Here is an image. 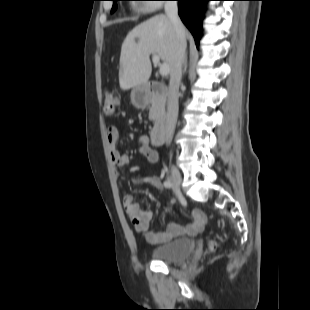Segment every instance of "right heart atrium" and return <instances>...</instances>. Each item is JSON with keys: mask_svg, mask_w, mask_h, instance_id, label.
<instances>
[{"mask_svg": "<svg viewBox=\"0 0 310 310\" xmlns=\"http://www.w3.org/2000/svg\"><path fill=\"white\" fill-rule=\"evenodd\" d=\"M148 1H154L157 2V0H148ZM160 5L158 3H154V4H149L147 6L148 9L150 10H155V9H159Z\"/></svg>", "mask_w": 310, "mask_h": 310, "instance_id": "obj_1", "label": "right heart atrium"}]
</instances>
